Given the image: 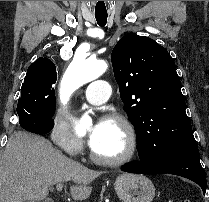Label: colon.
I'll use <instances>...</instances> for the list:
<instances>
[{"label": "colon", "mask_w": 209, "mask_h": 202, "mask_svg": "<svg viewBox=\"0 0 209 202\" xmlns=\"http://www.w3.org/2000/svg\"><path fill=\"white\" fill-rule=\"evenodd\" d=\"M177 202H191V201L190 200H187V199H181V200H179Z\"/></svg>", "instance_id": "1"}]
</instances>
